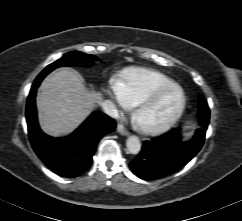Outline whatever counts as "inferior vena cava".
<instances>
[{"instance_id":"inferior-vena-cava-1","label":"inferior vena cava","mask_w":242,"mask_h":221,"mask_svg":"<svg viewBox=\"0 0 242 221\" xmlns=\"http://www.w3.org/2000/svg\"><path fill=\"white\" fill-rule=\"evenodd\" d=\"M103 111L112 118H118L119 112L115 104L110 100H105L101 103Z\"/></svg>"}]
</instances>
